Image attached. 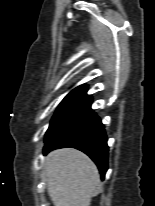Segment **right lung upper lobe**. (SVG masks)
<instances>
[{
    "label": "right lung upper lobe",
    "mask_w": 155,
    "mask_h": 206,
    "mask_svg": "<svg viewBox=\"0 0 155 206\" xmlns=\"http://www.w3.org/2000/svg\"><path fill=\"white\" fill-rule=\"evenodd\" d=\"M86 87H87V86H86L85 84H83V85L77 87L76 89H79V88H85V89H86Z\"/></svg>",
    "instance_id": "obj_1"
}]
</instances>
